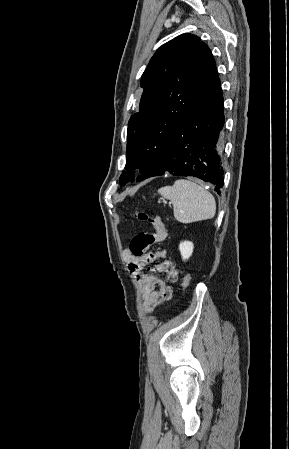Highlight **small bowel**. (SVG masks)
<instances>
[{"mask_svg":"<svg viewBox=\"0 0 289 449\" xmlns=\"http://www.w3.org/2000/svg\"><path fill=\"white\" fill-rule=\"evenodd\" d=\"M122 257L128 264L129 270L139 281L146 312H152L173 297L172 284L178 281L179 272L173 262L164 260L165 251L137 257L132 254L130 248H126ZM155 272L164 273L166 279H160Z\"/></svg>","mask_w":289,"mask_h":449,"instance_id":"small-bowel-1","label":"small bowel"}]
</instances>
